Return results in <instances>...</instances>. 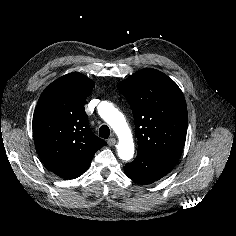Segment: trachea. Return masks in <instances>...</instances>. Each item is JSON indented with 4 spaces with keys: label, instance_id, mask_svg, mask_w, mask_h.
Instances as JSON below:
<instances>
[{
    "label": "trachea",
    "instance_id": "1",
    "mask_svg": "<svg viewBox=\"0 0 236 236\" xmlns=\"http://www.w3.org/2000/svg\"><path fill=\"white\" fill-rule=\"evenodd\" d=\"M110 135V129L107 125H102L99 129V136L104 138V139H108Z\"/></svg>",
    "mask_w": 236,
    "mask_h": 236
}]
</instances>
